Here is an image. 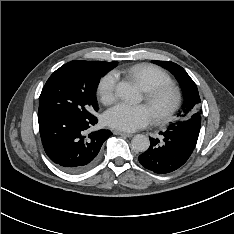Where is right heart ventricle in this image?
<instances>
[{
    "label": "right heart ventricle",
    "instance_id": "e07e8e85",
    "mask_svg": "<svg viewBox=\"0 0 234 234\" xmlns=\"http://www.w3.org/2000/svg\"><path fill=\"white\" fill-rule=\"evenodd\" d=\"M127 73L144 91L160 84H172L170 76L165 71L151 64L134 65Z\"/></svg>",
    "mask_w": 234,
    "mask_h": 234
}]
</instances>
